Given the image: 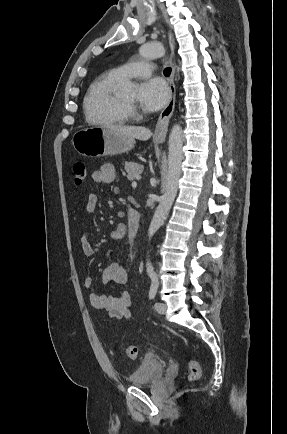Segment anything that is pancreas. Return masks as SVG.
<instances>
[{
  "label": "pancreas",
  "instance_id": "1",
  "mask_svg": "<svg viewBox=\"0 0 287 434\" xmlns=\"http://www.w3.org/2000/svg\"><path fill=\"white\" fill-rule=\"evenodd\" d=\"M128 180H134L143 171V166L134 162H126L124 167Z\"/></svg>",
  "mask_w": 287,
  "mask_h": 434
}]
</instances>
